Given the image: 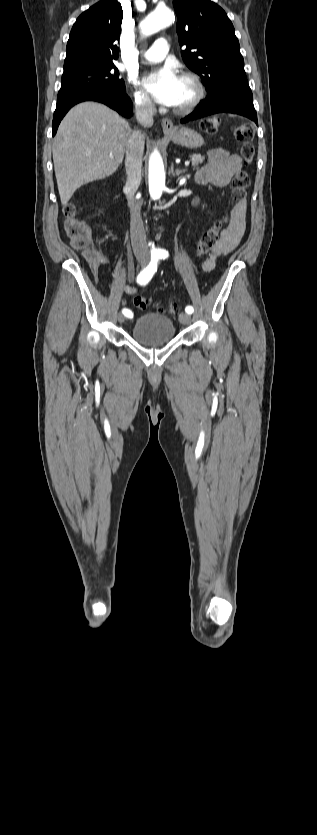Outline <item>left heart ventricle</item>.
<instances>
[{
	"mask_svg": "<svg viewBox=\"0 0 317 835\" xmlns=\"http://www.w3.org/2000/svg\"><path fill=\"white\" fill-rule=\"evenodd\" d=\"M193 95V89L191 85L180 78V85L178 91L177 102L175 106H182L187 103Z\"/></svg>",
	"mask_w": 317,
	"mask_h": 835,
	"instance_id": "left-heart-ventricle-1",
	"label": "left heart ventricle"
}]
</instances>
